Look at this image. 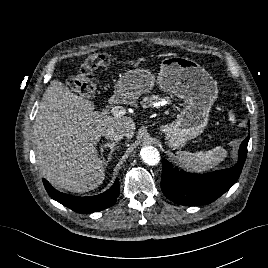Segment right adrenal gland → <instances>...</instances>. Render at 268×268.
<instances>
[{
    "label": "right adrenal gland",
    "instance_id": "1",
    "mask_svg": "<svg viewBox=\"0 0 268 268\" xmlns=\"http://www.w3.org/2000/svg\"><path fill=\"white\" fill-rule=\"evenodd\" d=\"M118 144V142H108V143H105L103 145L100 146V149H101V152L103 153L104 152V149L106 148H109L110 149V152L109 154L107 155V160L104 159L103 157V162H104V165H108V163L111 161V157H112V153L114 152V147Z\"/></svg>",
    "mask_w": 268,
    "mask_h": 268
}]
</instances>
